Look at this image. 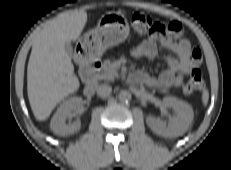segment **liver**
Here are the masks:
<instances>
[{"label": "liver", "mask_w": 231, "mask_h": 170, "mask_svg": "<svg viewBox=\"0 0 231 170\" xmlns=\"http://www.w3.org/2000/svg\"><path fill=\"white\" fill-rule=\"evenodd\" d=\"M86 23L84 9L62 13L35 36L27 68V93L39 121L46 120L61 100L80 87L64 45L76 41Z\"/></svg>", "instance_id": "1"}]
</instances>
